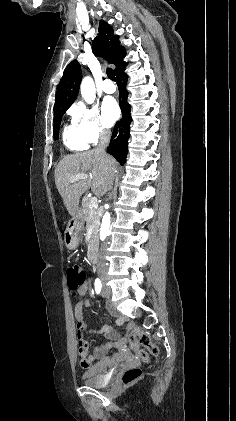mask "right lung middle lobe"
Listing matches in <instances>:
<instances>
[{"instance_id": "1", "label": "right lung middle lobe", "mask_w": 236, "mask_h": 421, "mask_svg": "<svg viewBox=\"0 0 236 421\" xmlns=\"http://www.w3.org/2000/svg\"><path fill=\"white\" fill-rule=\"evenodd\" d=\"M68 108L69 107H64V108H59V109L54 110L53 135H54L55 140L58 139L59 127L62 120V116L64 115V113L66 112Z\"/></svg>"}]
</instances>
